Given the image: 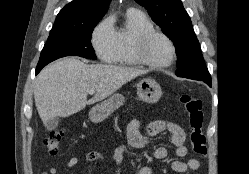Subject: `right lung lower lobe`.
<instances>
[{
	"label": "right lung lower lobe",
	"instance_id": "1",
	"mask_svg": "<svg viewBox=\"0 0 249 174\" xmlns=\"http://www.w3.org/2000/svg\"><path fill=\"white\" fill-rule=\"evenodd\" d=\"M41 69H42V67H37L36 68V74H38Z\"/></svg>",
	"mask_w": 249,
	"mask_h": 174
}]
</instances>
